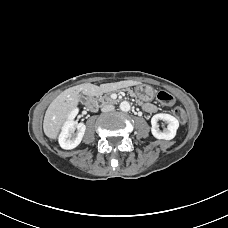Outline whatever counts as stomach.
Masks as SVG:
<instances>
[{"instance_id": "0dacf381", "label": "stomach", "mask_w": 228, "mask_h": 228, "mask_svg": "<svg viewBox=\"0 0 228 228\" xmlns=\"http://www.w3.org/2000/svg\"><path fill=\"white\" fill-rule=\"evenodd\" d=\"M135 95L142 101H151L154 98V90L147 84H139L134 88Z\"/></svg>"}]
</instances>
